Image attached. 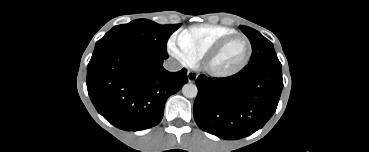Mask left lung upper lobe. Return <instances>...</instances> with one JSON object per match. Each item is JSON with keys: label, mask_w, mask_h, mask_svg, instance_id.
I'll use <instances>...</instances> for the list:
<instances>
[{"label": "left lung upper lobe", "mask_w": 369, "mask_h": 152, "mask_svg": "<svg viewBox=\"0 0 369 152\" xmlns=\"http://www.w3.org/2000/svg\"><path fill=\"white\" fill-rule=\"evenodd\" d=\"M239 27L249 38L252 45V56L248 65L244 67V70L261 66H281L273 44L268 39L252 28L242 25Z\"/></svg>", "instance_id": "left-lung-upper-lobe-1"}]
</instances>
